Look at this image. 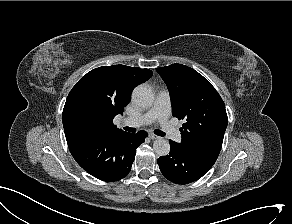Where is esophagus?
<instances>
[{
    "instance_id": "obj_1",
    "label": "esophagus",
    "mask_w": 292,
    "mask_h": 224,
    "mask_svg": "<svg viewBox=\"0 0 292 224\" xmlns=\"http://www.w3.org/2000/svg\"><path fill=\"white\" fill-rule=\"evenodd\" d=\"M149 138L152 139V140H156V139H159L160 137L155 135V134H153V133H150L149 134Z\"/></svg>"
}]
</instances>
